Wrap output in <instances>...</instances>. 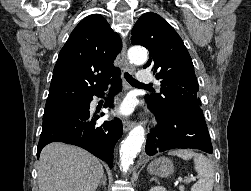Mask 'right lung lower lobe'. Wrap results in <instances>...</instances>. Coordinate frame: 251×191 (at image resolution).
Returning a JSON list of instances; mask_svg holds the SVG:
<instances>
[{"instance_id": "right-lung-lower-lobe-1", "label": "right lung lower lobe", "mask_w": 251, "mask_h": 191, "mask_svg": "<svg viewBox=\"0 0 251 191\" xmlns=\"http://www.w3.org/2000/svg\"><path fill=\"white\" fill-rule=\"evenodd\" d=\"M106 88L96 96H102ZM121 90V80L113 82L111 96L105 107H113L112 96ZM92 97L88 98L85 109L71 110L43 119L42 133L37 148L39 158L42 148L51 142H63L77 145L105 161L110 168L113 164V150L122 135V124L119 119L97 124L99 116L92 115L89 107ZM103 115V113L101 114Z\"/></svg>"}]
</instances>
